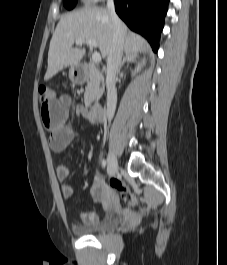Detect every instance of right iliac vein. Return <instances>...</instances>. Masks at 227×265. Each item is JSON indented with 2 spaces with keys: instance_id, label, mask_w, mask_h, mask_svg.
<instances>
[{
  "instance_id": "obj_1",
  "label": "right iliac vein",
  "mask_w": 227,
  "mask_h": 265,
  "mask_svg": "<svg viewBox=\"0 0 227 265\" xmlns=\"http://www.w3.org/2000/svg\"><path fill=\"white\" fill-rule=\"evenodd\" d=\"M107 170L110 175H115L118 171V162L113 152L109 153Z\"/></svg>"
}]
</instances>
